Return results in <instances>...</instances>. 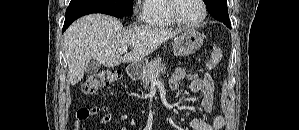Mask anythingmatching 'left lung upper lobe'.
<instances>
[{
	"instance_id": "5c2ea615",
	"label": "left lung upper lobe",
	"mask_w": 299,
	"mask_h": 130,
	"mask_svg": "<svg viewBox=\"0 0 299 130\" xmlns=\"http://www.w3.org/2000/svg\"><path fill=\"white\" fill-rule=\"evenodd\" d=\"M208 8L209 13L215 19L229 20L227 1L226 0H204Z\"/></svg>"
}]
</instances>
